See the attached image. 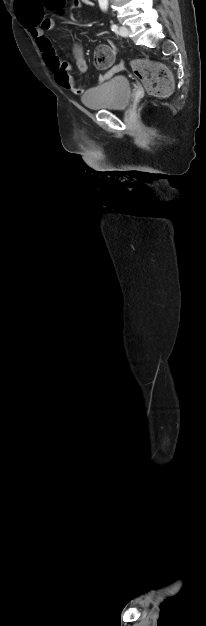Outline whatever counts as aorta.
Returning a JSON list of instances; mask_svg holds the SVG:
<instances>
[{
	"label": "aorta",
	"instance_id": "obj_1",
	"mask_svg": "<svg viewBox=\"0 0 206 626\" xmlns=\"http://www.w3.org/2000/svg\"><path fill=\"white\" fill-rule=\"evenodd\" d=\"M101 8L106 9L108 5V0H98Z\"/></svg>",
	"mask_w": 206,
	"mask_h": 626
}]
</instances>
